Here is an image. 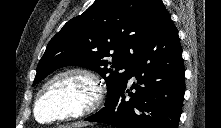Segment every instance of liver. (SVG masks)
<instances>
[{
    "instance_id": "obj_1",
    "label": "liver",
    "mask_w": 221,
    "mask_h": 128,
    "mask_svg": "<svg viewBox=\"0 0 221 128\" xmlns=\"http://www.w3.org/2000/svg\"><path fill=\"white\" fill-rule=\"evenodd\" d=\"M81 127H82L81 124H74V125H72V128H81Z\"/></svg>"
}]
</instances>
